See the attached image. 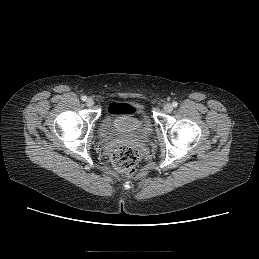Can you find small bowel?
Instances as JSON below:
<instances>
[{"instance_id": "1", "label": "small bowel", "mask_w": 259, "mask_h": 259, "mask_svg": "<svg viewBox=\"0 0 259 259\" xmlns=\"http://www.w3.org/2000/svg\"><path fill=\"white\" fill-rule=\"evenodd\" d=\"M113 105H116V103H112V104H110L109 106H113Z\"/></svg>"}]
</instances>
